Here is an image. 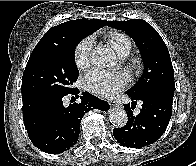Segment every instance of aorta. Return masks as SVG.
<instances>
[{"mask_svg": "<svg viewBox=\"0 0 196 166\" xmlns=\"http://www.w3.org/2000/svg\"><path fill=\"white\" fill-rule=\"evenodd\" d=\"M92 62L100 68H111L116 64V57L108 48L98 47L93 50ZM109 119L113 126L122 128L126 125L128 117L122 107H115L109 110Z\"/></svg>", "mask_w": 196, "mask_h": 166, "instance_id": "obj_1", "label": "aorta"}]
</instances>
